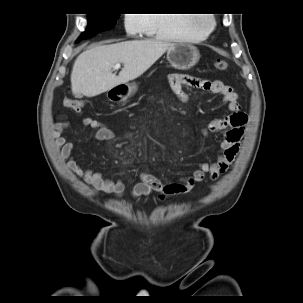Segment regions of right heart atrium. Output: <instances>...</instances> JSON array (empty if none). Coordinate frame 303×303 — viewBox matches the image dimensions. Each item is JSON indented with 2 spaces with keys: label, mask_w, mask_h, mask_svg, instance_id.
Returning <instances> with one entry per match:
<instances>
[{
  "label": "right heart atrium",
  "mask_w": 303,
  "mask_h": 303,
  "mask_svg": "<svg viewBox=\"0 0 303 303\" xmlns=\"http://www.w3.org/2000/svg\"><path fill=\"white\" fill-rule=\"evenodd\" d=\"M146 24L145 14H127L125 18V28L132 35L144 32Z\"/></svg>",
  "instance_id": "d8ad5b80"
}]
</instances>
